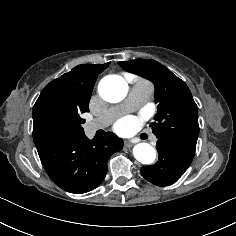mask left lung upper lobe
Returning <instances> with one entry per match:
<instances>
[{"mask_svg": "<svg viewBox=\"0 0 236 236\" xmlns=\"http://www.w3.org/2000/svg\"><path fill=\"white\" fill-rule=\"evenodd\" d=\"M118 64L124 70L154 83L155 101L159 104L155 122L150 126L156 137H175L196 143L199 134L198 108L185 82L152 59L120 61Z\"/></svg>", "mask_w": 236, "mask_h": 236, "instance_id": "left-lung-upper-lobe-1", "label": "left lung upper lobe"}]
</instances>
